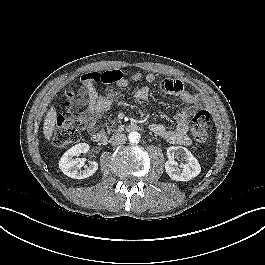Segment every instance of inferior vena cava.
<instances>
[{"instance_id": "obj_1", "label": "inferior vena cava", "mask_w": 265, "mask_h": 265, "mask_svg": "<svg viewBox=\"0 0 265 265\" xmlns=\"http://www.w3.org/2000/svg\"><path fill=\"white\" fill-rule=\"evenodd\" d=\"M125 142H126L125 134L117 133L110 138V143L112 145H120V144H124Z\"/></svg>"}]
</instances>
